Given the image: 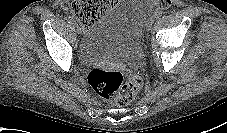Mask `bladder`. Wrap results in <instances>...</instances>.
<instances>
[{
    "instance_id": "1",
    "label": "bladder",
    "mask_w": 227,
    "mask_h": 133,
    "mask_svg": "<svg viewBox=\"0 0 227 133\" xmlns=\"http://www.w3.org/2000/svg\"><path fill=\"white\" fill-rule=\"evenodd\" d=\"M152 0H119L85 29L78 47L81 63L115 62L137 68L143 62L141 47Z\"/></svg>"
}]
</instances>
